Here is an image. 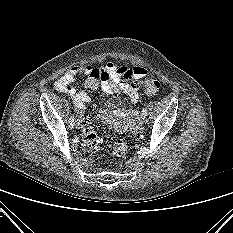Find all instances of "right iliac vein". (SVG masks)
<instances>
[{
	"label": "right iliac vein",
	"instance_id": "1",
	"mask_svg": "<svg viewBox=\"0 0 233 233\" xmlns=\"http://www.w3.org/2000/svg\"><path fill=\"white\" fill-rule=\"evenodd\" d=\"M75 128H76V129H79V128H80V122H79V120L76 121Z\"/></svg>",
	"mask_w": 233,
	"mask_h": 233
}]
</instances>
